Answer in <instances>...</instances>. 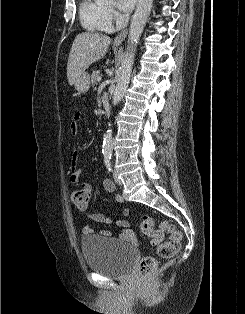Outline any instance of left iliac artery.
<instances>
[{
	"mask_svg": "<svg viewBox=\"0 0 245 314\" xmlns=\"http://www.w3.org/2000/svg\"><path fill=\"white\" fill-rule=\"evenodd\" d=\"M104 163H105L107 169H108L109 171H111V170H112V166H111V155H109V154H105V155H104Z\"/></svg>",
	"mask_w": 245,
	"mask_h": 314,
	"instance_id": "obj_1",
	"label": "left iliac artery"
}]
</instances>
